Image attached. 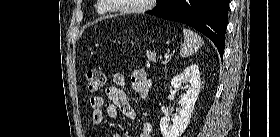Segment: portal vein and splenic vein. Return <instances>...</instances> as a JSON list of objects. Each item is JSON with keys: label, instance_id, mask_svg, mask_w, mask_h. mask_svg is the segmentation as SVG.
<instances>
[{"label": "portal vein and splenic vein", "instance_id": "1", "mask_svg": "<svg viewBox=\"0 0 280 137\" xmlns=\"http://www.w3.org/2000/svg\"><path fill=\"white\" fill-rule=\"evenodd\" d=\"M164 58L167 60V59L169 58V55L166 54V55L164 56Z\"/></svg>", "mask_w": 280, "mask_h": 137}]
</instances>
